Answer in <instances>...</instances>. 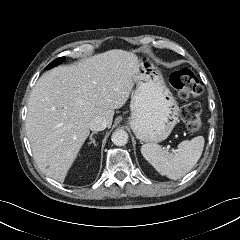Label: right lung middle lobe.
<instances>
[{
	"label": "right lung middle lobe",
	"instance_id": "obj_1",
	"mask_svg": "<svg viewBox=\"0 0 240 240\" xmlns=\"http://www.w3.org/2000/svg\"><path fill=\"white\" fill-rule=\"evenodd\" d=\"M64 59H65V57L57 58L56 60H54L53 62H51V63L46 67V69H50V68H53L54 66L59 65L62 61H64Z\"/></svg>",
	"mask_w": 240,
	"mask_h": 240
}]
</instances>
